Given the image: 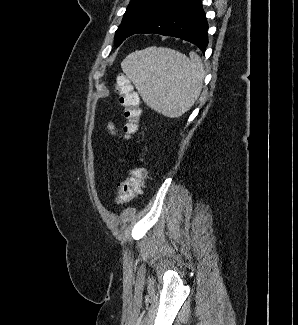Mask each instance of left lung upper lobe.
Returning <instances> with one entry per match:
<instances>
[{
	"instance_id": "1",
	"label": "left lung upper lobe",
	"mask_w": 298,
	"mask_h": 325,
	"mask_svg": "<svg viewBox=\"0 0 298 325\" xmlns=\"http://www.w3.org/2000/svg\"><path fill=\"white\" fill-rule=\"evenodd\" d=\"M162 0H131L123 21L115 34V44L119 46L131 30Z\"/></svg>"
}]
</instances>
